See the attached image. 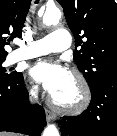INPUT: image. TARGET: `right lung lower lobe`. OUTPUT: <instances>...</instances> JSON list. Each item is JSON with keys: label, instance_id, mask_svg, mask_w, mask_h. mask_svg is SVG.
Segmentation results:
<instances>
[{"label": "right lung lower lobe", "instance_id": "right-lung-lower-lobe-1", "mask_svg": "<svg viewBox=\"0 0 117 136\" xmlns=\"http://www.w3.org/2000/svg\"><path fill=\"white\" fill-rule=\"evenodd\" d=\"M45 124L43 107L29 104L22 74L0 80V131L39 136Z\"/></svg>", "mask_w": 117, "mask_h": 136}]
</instances>
